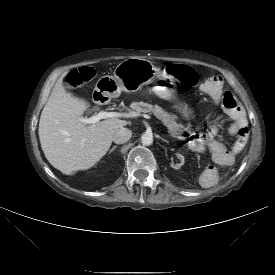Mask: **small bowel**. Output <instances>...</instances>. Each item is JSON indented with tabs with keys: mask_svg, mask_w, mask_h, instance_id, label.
<instances>
[{
	"mask_svg": "<svg viewBox=\"0 0 275 275\" xmlns=\"http://www.w3.org/2000/svg\"><path fill=\"white\" fill-rule=\"evenodd\" d=\"M222 79L219 76H213L212 79L204 86V92L209 96L215 104L219 103L222 96ZM231 119L229 133L236 135L239 130L247 128V119L245 112L240 104L236 103L227 111ZM215 133L208 130L204 133L196 134L191 141L192 147L199 152L208 149L210 159L205 165V169L200 173V182L207 187L216 184L220 177L223 176L228 169V165L234 163V152L226 149L225 143L218 138L213 139Z\"/></svg>",
	"mask_w": 275,
	"mask_h": 275,
	"instance_id": "small-bowel-1",
	"label": "small bowel"
}]
</instances>
